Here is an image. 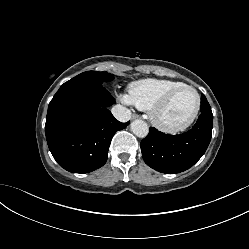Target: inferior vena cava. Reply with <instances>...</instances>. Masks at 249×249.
Here are the masks:
<instances>
[{"instance_id": "602c4592", "label": "inferior vena cava", "mask_w": 249, "mask_h": 249, "mask_svg": "<svg viewBox=\"0 0 249 249\" xmlns=\"http://www.w3.org/2000/svg\"><path fill=\"white\" fill-rule=\"evenodd\" d=\"M111 112L120 122H127L131 117V111L120 104L113 106Z\"/></svg>"}]
</instances>
